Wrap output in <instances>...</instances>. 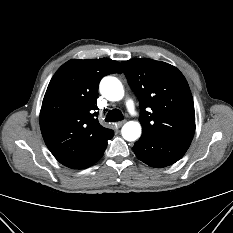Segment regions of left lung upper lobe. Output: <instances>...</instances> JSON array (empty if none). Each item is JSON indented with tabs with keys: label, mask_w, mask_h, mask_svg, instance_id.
Masks as SVG:
<instances>
[{
	"label": "left lung upper lobe",
	"mask_w": 233,
	"mask_h": 233,
	"mask_svg": "<svg viewBox=\"0 0 233 233\" xmlns=\"http://www.w3.org/2000/svg\"><path fill=\"white\" fill-rule=\"evenodd\" d=\"M121 65L139 100L142 134L191 142L195 111L183 74L168 63L148 58L123 61Z\"/></svg>",
	"instance_id": "1"
}]
</instances>
